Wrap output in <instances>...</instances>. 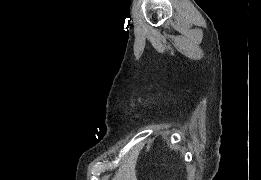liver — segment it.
Returning <instances> with one entry per match:
<instances>
[{"label":"liver","instance_id":"6515ba94","mask_svg":"<svg viewBox=\"0 0 261 180\" xmlns=\"http://www.w3.org/2000/svg\"><path fill=\"white\" fill-rule=\"evenodd\" d=\"M139 152L140 150H138V148H134V150L129 152L122 164H119V168L116 170L113 180H136L135 166Z\"/></svg>","mask_w":261,"mask_h":180}]
</instances>
